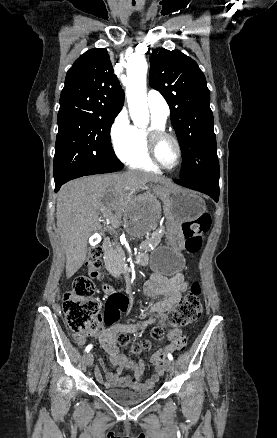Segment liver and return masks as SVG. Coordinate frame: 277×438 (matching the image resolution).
Instances as JSON below:
<instances>
[{"label": "liver", "instance_id": "obj_1", "mask_svg": "<svg viewBox=\"0 0 277 438\" xmlns=\"http://www.w3.org/2000/svg\"><path fill=\"white\" fill-rule=\"evenodd\" d=\"M148 182L174 188L170 180L129 170L110 176H84L62 186L56 204L57 228L66 254V278L74 276L87 256L88 238L101 230L100 214L112 216L118 206L140 205L133 194Z\"/></svg>", "mask_w": 277, "mask_h": 438}]
</instances>
